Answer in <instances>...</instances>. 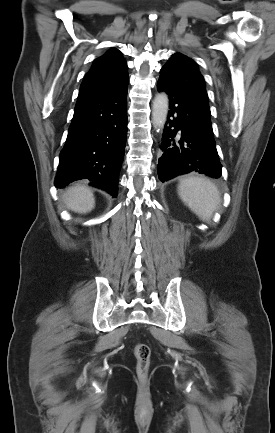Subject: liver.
<instances>
[{"label": "liver", "instance_id": "obj_1", "mask_svg": "<svg viewBox=\"0 0 275 433\" xmlns=\"http://www.w3.org/2000/svg\"><path fill=\"white\" fill-rule=\"evenodd\" d=\"M66 207L76 213L86 214L95 206V198L92 191L81 184H75L67 189L63 195Z\"/></svg>", "mask_w": 275, "mask_h": 433}]
</instances>
